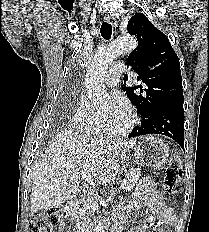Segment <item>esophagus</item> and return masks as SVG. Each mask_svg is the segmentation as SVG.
Listing matches in <instances>:
<instances>
[{
	"mask_svg": "<svg viewBox=\"0 0 209 232\" xmlns=\"http://www.w3.org/2000/svg\"><path fill=\"white\" fill-rule=\"evenodd\" d=\"M104 19L106 22L110 23L113 27L116 28L118 26V22H117L115 17H112L110 15H106Z\"/></svg>",
	"mask_w": 209,
	"mask_h": 232,
	"instance_id": "34e87169",
	"label": "esophagus"
}]
</instances>
